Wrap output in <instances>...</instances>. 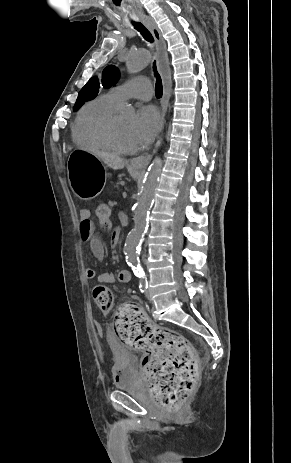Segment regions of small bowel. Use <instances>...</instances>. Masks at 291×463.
Listing matches in <instances>:
<instances>
[{"instance_id": "small-bowel-1", "label": "small bowel", "mask_w": 291, "mask_h": 463, "mask_svg": "<svg viewBox=\"0 0 291 463\" xmlns=\"http://www.w3.org/2000/svg\"><path fill=\"white\" fill-rule=\"evenodd\" d=\"M111 226L112 224H110V226L102 227L110 229ZM120 232L121 229L118 226H113L111 228V244L113 246H118L120 244ZM79 237L82 241L89 242L90 251L97 260H103L105 256V247L100 237L94 232V224L90 218V210L87 208H83L79 211ZM85 277L88 280H97L100 283L106 284H113L116 281L120 283H128L131 279L130 273L127 270L120 271L116 277L114 273L110 271H106L98 275L96 271L91 268L85 271ZM115 378L116 377L114 375V379Z\"/></svg>"}]
</instances>
